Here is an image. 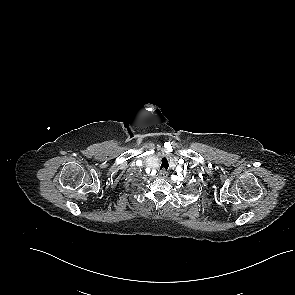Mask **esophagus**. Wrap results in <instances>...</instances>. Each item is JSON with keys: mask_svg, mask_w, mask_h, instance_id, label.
Returning a JSON list of instances; mask_svg holds the SVG:
<instances>
[{"mask_svg": "<svg viewBox=\"0 0 295 295\" xmlns=\"http://www.w3.org/2000/svg\"><path fill=\"white\" fill-rule=\"evenodd\" d=\"M158 176L160 178H166L168 176V172H166L165 170H161L158 174Z\"/></svg>", "mask_w": 295, "mask_h": 295, "instance_id": "esophagus-1", "label": "esophagus"}]
</instances>
